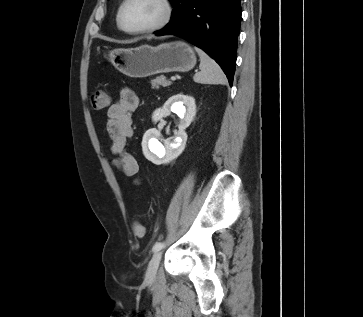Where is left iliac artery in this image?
<instances>
[{
  "instance_id": "left-iliac-artery-1",
  "label": "left iliac artery",
  "mask_w": 363,
  "mask_h": 317,
  "mask_svg": "<svg viewBox=\"0 0 363 317\" xmlns=\"http://www.w3.org/2000/svg\"><path fill=\"white\" fill-rule=\"evenodd\" d=\"M164 247V243L163 242H157L155 243V245L153 246V251L156 252V251H159L161 250L162 248Z\"/></svg>"
}]
</instances>
